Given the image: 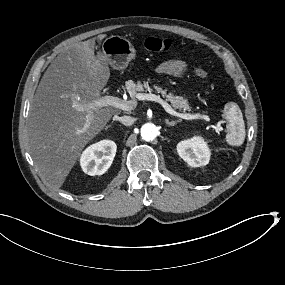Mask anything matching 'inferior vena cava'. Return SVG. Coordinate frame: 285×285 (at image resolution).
Segmentation results:
<instances>
[{
    "mask_svg": "<svg viewBox=\"0 0 285 285\" xmlns=\"http://www.w3.org/2000/svg\"><path fill=\"white\" fill-rule=\"evenodd\" d=\"M118 120L124 124L125 126H130L134 123L135 119L131 116H122L119 117Z\"/></svg>",
    "mask_w": 285,
    "mask_h": 285,
    "instance_id": "1",
    "label": "inferior vena cava"
}]
</instances>
